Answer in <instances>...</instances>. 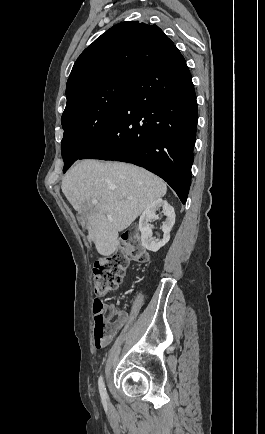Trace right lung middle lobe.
<instances>
[{"label": "right lung middle lobe", "instance_id": "obj_1", "mask_svg": "<svg viewBox=\"0 0 265 434\" xmlns=\"http://www.w3.org/2000/svg\"><path fill=\"white\" fill-rule=\"evenodd\" d=\"M136 76L112 75L66 91L61 142L66 171L107 130L116 118Z\"/></svg>", "mask_w": 265, "mask_h": 434}]
</instances>
